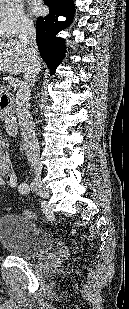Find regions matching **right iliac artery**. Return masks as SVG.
<instances>
[{
	"label": "right iliac artery",
	"mask_w": 129,
	"mask_h": 309,
	"mask_svg": "<svg viewBox=\"0 0 129 309\" xmlns=\"http://www.w3.org/2000/svg\"><path fill=\"white\" fill-rule=\"evenodd\" d=\"M18 189L21 194H27L30 192L29 185L25 183L21 184Z\"/></svg>",
	"instance_id": "obj_1"
}]
</instances>
